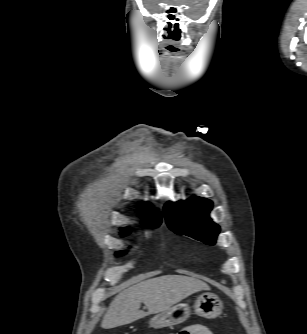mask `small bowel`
Returning <instances> with one entry per match:
<instances>
[{
  "label": "small bowel",
  "mask_w": 307,
  "mask_h": 334,
  "mask_svg": "<svg viewBox=\"0 0 307 334\" xmlns=\"http://www.w3.org/2000/svg\"><path fill=\"white\" fill-rule=\"evenodd\" d=\"M181 332L183 334H213L212 331L207 326L201 324L188 326Z\"/></svg>",
  "instance_id": "1"
}]
</instances>
